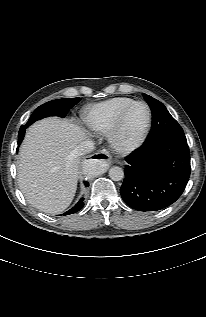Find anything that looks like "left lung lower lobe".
I'll return each instance as SVG.
<instances>
[{
    "instance_id": "left-lung-lower-lobe-1",
    "label": "left lung lower lobe",
    "mask_w": 206,
    "mask_h": 317,
    "mask_svg": "<svg viewBox=\"0 0 206 317\" xmlns=\"http://www.w3.org/2000/svg\"><path fill=\"white\" fill-rule=\"evenodd\" d=\"M125 179L120 194L139 211H156L174 203L190 176L187 140L162 139L145 143L126 157Z\"/></svg>"
}]
</instances>
